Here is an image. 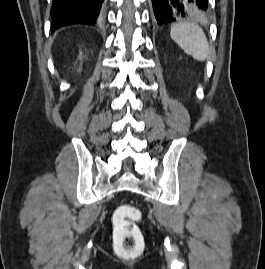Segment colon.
Listing matches in <instances>:
<instances>
[{
  "label": "colon",
  "instance_id": "1",
  "mask_svg": "<svg viewBox=\"0 0 265 269\" xmlns=\"http://www.w3.org/2000/svg\"><path fill=\"white\" fill-rule=\"evenodd\" d=\"M140 217L139 210L132 206L120 207L116 212L114 241L124 254H135L140 246L141 232L135 224Z\"/></svg>",
  "mask_w": 265,
  "mask_h": 269
}]
</instances>
